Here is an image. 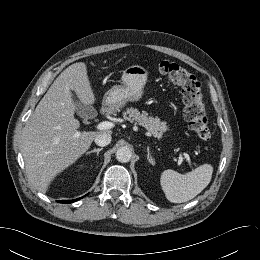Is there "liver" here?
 Here are the masks:
<instances>
[{"instance_id":"6515ba94","label":"liver","mask_w":260,"mask_h":260,"mask_svg":"<svg viewBox=\"0 0 260 260\" xmlns=\"http://www.w3.org/2000/svg\"><path fill=\"white\" fill-rule=\"evenodd\" d=\"M75 92L79 100L95 103L87 66L78 62L66 68L38 103L22 131V148L29 182L45 193L54 177L73 164L102 132L79 131L74 117ZM103 132L111 133L110 130Z\"/></svg>"}]
</instances>
